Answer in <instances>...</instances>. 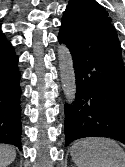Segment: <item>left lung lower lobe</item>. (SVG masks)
Instances as JSON below:
<instances>
[{"instance_id": "1", "label": "left lung lower lobe", "mask_w": 125, "mask_h": 167, "mask_svg": "<svg viewBox=\"0 0 125 167\" xmlns=\"http://www.w3.org/2000/svg\"><path fill=\"white\" fill-rule=\"evenodd\" d=\"M59 42L73 59L76 100L65 105V144L83 137H109L125 144V69L111 23L61 24Z\"/></svg>"}]
</instances>
